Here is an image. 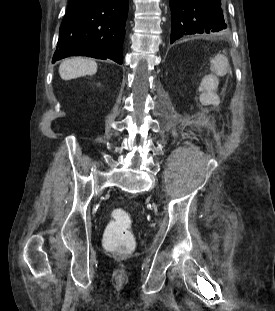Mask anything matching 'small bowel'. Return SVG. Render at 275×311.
Returning a JSON list of instances; mask_svg holds the SVG:
<instances>
[{"label": "small bowel", "mask_w": 275, "mask_h": 311, "mask_svg": "<svg viewBox=\"0 0 275 311\" xmlns=\"http://www.w3.org/2000/svg\"><path fill=\"white\" fill-rule=\"evenodd\" d=\"M208 65L205 73H201L200 86L197 92L201 93L200 103H204L205 108L210 112H217L221 107V80H226L228 75L229 58L228 56H209Z\"/></svg>", "instance_id": "c3829d8e"}]
</instances>
